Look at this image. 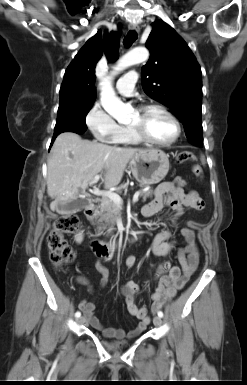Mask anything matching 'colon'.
<instances>
[{
  "label": "colon",
  "instance_id": "colon-1",
  "mask_svg": "<svg viewBox=\"0 0 247 385\" xmlns=\"http://www.w3.org/2000/svg\"><path fill=\"white\" fill-rule=\"evenodd\" d=\"M194 160L195 155L190 151H182L177 156L178 163H191ZM192 171L196 177L203 178V170L199 165H194ZM79 224V217L74 214L60 216L54 221L47 237V244L50 249V259L55 266L61 267L74 260L75 253L67 243L65 235L77 231ZM160 271L166 272L167 265L163 264Z\"/></svg>",
  "mask_w": 247,
  "mask_h": 385
}]
</instances>
